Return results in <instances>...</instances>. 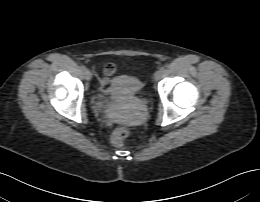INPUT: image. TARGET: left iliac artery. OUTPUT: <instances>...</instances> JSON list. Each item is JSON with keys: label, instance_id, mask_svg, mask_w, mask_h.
I'll return each mask as SVG.
<instances>
[{"label": "left iliac artery", "instance_id": "left-iliac-artery-1", "mask_svg": "<svg viewBox=\"0 0 260 202\" xmlns=\"http://www.w3.org/2000/svg\"><path fill=\"white\" fill-rule=\"evenodd\" d=\"M160 71L163 73V72H165V68L164 67H161L160 68Z\"/></svg>", "mask_w": 260, "mask_h": 202}]
</instances>
